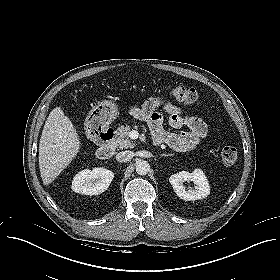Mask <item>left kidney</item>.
I'll use <instances>...</instances> for the list:
<instances>
[{"label": "left kidney", "instance_id": "5707ae66", "mask_svg": "<svg viewBox=\"0 0 280 280\" xmlns=\"http://www.w3.org/2000/svg\"><path fill=\"white\" fill-rule=\"evenodd\" d=\"M193 182L194 187H186L184 182ZM169 182L177 196L185 201H194L206 198L210 194V186L207 177L200 169H195L192 173L182 171L171 175Z\"/></svg>", "mask_w": 280, "mask_h": 280}]
</instances>
